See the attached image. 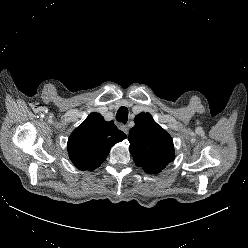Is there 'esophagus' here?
Instances as JSON below:
<instances>
[{
	"label": "esophagus",
	"mask_w": 248,
	"mask_h": 248,
	"mask_svg": "<svg viewBox=\"0 0 248 248\" xmlns=\"http://www.w3.org/2000/svg\"><path fill=\"white\" fill-rule=\"evenodd\" d=\"M120 129H121L126 135H128L129 129H128V127H127L126 125H122V126L120 127Z\"/></svg>",
	"instance_id": "34e87169"
}]
</instances>
